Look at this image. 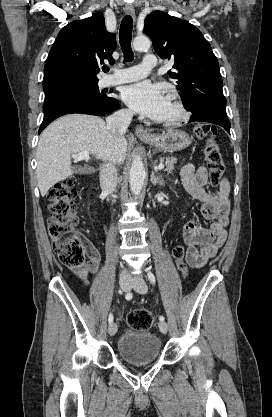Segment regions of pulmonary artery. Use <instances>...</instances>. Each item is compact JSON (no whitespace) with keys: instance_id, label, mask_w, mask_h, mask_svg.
<instances>
[{"instance_id":"pulmonary-artery-1","label":"pulmonary artery","mask_w":272,"mask_h":417,"mask_svg":"<svg viewBox=\"0 0 272 417\" xmlns=\"http://www.w3.org/2000/svg\"><path fill=\"white\" fill-rule=\"evenodd\" d=\"M155 66L156 57L152 54H147L144 56L141 64L117 70L114 75L105 80V85H116L137 81L144 78L155 68Z\"/></svg>"}]
</instances>
